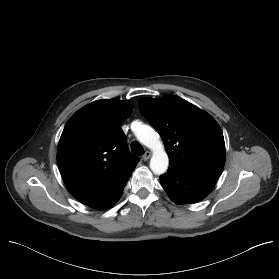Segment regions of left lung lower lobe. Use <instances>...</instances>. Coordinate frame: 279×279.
<instances>
[{"label": "left lung lower lobe", "mask_w": 279, "mask_h": 279, "mask_svg": "<svg viewBox=\"0 0 279 279\" xmlns=\"http://www.w3.org/2000/svg\"><path fill=\"white\" fill-rule=\"evenodd\" d=\"M219 176L198 174L169 166L160 176V183L169 197L178 204L195 203L210 193Z\"/></svg>", "instance_id": "1"}]
</instances>
